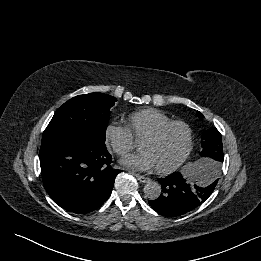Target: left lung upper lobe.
<instances>
[{
	"label": "left lung upper lobe",
	"mask_w": 261,
	"mask_h": 261,
	"mask_svg": "<svg viewBox=\"0 0 261 261\" xmlns=\"http://www.w3.org/2000/svg\"><path fill=\"white\" fill-rule=\"evenodd\" d=\"M197 116L204 117L199 111ZM202 140L203 150L200 155L208 157V163L220 167L224 159L221 134L216 128H212L204 133Z\"/></svg>",
	"instance_id": "1"
}]
</instances>
